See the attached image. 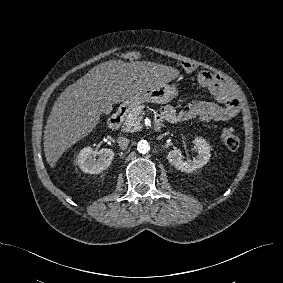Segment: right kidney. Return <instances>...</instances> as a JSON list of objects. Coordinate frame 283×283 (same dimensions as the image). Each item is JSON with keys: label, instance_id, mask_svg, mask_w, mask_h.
I'll use <instances>...</instances> for the list:
<instances>
[{"label": "right kidney", "instance_id": "right-kidney-1", "mask_svg": "<svg viewBox=\"0 0 283 283\" xmlns=\"http://www.w3.org/2000/svg\"><path fill=\"white\" fill-rule=\"evenodd\" d=\"M113 158L114 152L111 149L93 150L91 147H85L79 152L77 163L83 172L99 174L109 167Z\"/></svg>", "mask_w": 283, "mask_h": 283}]
</instances>
